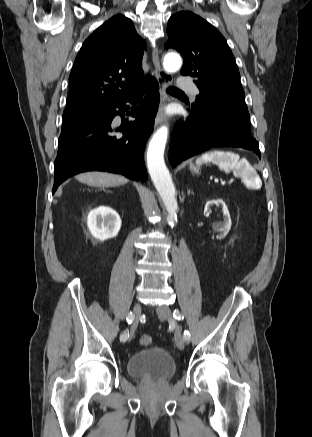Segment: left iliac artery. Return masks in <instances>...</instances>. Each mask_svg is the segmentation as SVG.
<instances>
[{
	"label": "left iliac artery",
	"instance_id": "44dca946",
	"mask_svg": "<svg viewBox=\"0 0 312 437\" xmlns=\"http://www.w3.org/2000/svg\"><path fill=\"white\" fill-rule=\"evenodd\" d=\"M173 317H174L175 319H177V320H181V319H183V315H182V314L179 312V310H177V309H175V310L173 311ZM183 338H184L185 340H189V339H190V333H189L188 330H185V331H184Z\"/></svg>",
	"mask_w": 312,
	"mask_h": 437
}]
</instances>
